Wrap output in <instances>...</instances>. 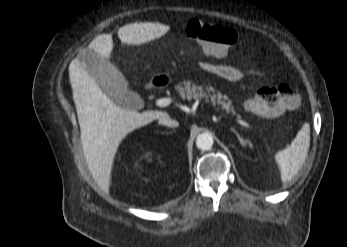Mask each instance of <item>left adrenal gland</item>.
Wrapping results in <instances>:
<instances>
[{
    "mask_svg": "<svg viewBox=\"0 0 347 247\" xmlns=\"http://www.w3.org/2000/svg\"><path fill=\"white\" fill-rule=\"evenodd\" d=\"M231 131L237 136L242 146H246V141L240 136V134L234 129L231 128Z\"/></svg>",
    "mask_w": 347,
    "mask_h": 247,
    "instance_id": "a2214340",
    "label": "left adrenal gland"
}]
</instances>
